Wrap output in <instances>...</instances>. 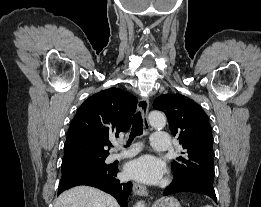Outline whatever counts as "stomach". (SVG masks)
Returning a JSON list of instances; mask_svg holds the SVG:
<instances>
[{"label": "stomach", "instance_id": "1", "mask_svg": "<svg viewBox=\"0 0 261 207\" xmlns=\"http://www.w3.org/2000/svg\"><path fill=\"white\" fill-rule=\"evenodd\" d=\"M153 207H181L178 200L174 197H167L161 200H158Z\"/></svg>", "mask_w": 261, "mask_h": 207}]
</instances>
